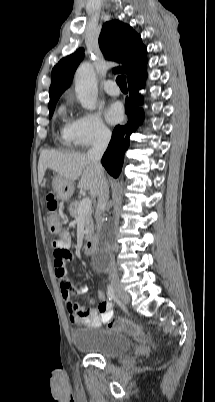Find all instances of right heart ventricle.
<instances>
[{
    "label": "right heart ventricle",
    "instance_id": "1",
    "mask_svg": "<svg viewBox=\"0 0 215 402\" xmlns=\"http://www.w3.org/2000/svg\"><path fill=\"white\" fill-rule=\"evenodd\" d=\"M59 114L62 116V118L66 117V110L64 107H60ZM70 126L71 122L65 121L60 128L61 140L65 145H70V143L72 142Z\"/></svg>",
    "mask_w": 215,
    "mask_h": 402
}]
</instances>
